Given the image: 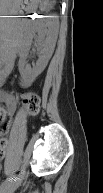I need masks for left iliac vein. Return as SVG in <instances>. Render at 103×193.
Here are the masks:
<instances>
[{"label":"left iliac vein","instance_id":"obj_1","mask_svg":"<svg viewBox=\"0 0 103 193\" xmlns=\"http://www.w3.org/2000/svg\"><path fill=\"white\" fill-rule=\"evenodd\" d=\"M23 177H24V172L20 175V178L18 179V181L10 185L9 187L10 191L16 189L21 184Z\"/></svg>","mask_w":103,"mask_h":193}]
</instances>
